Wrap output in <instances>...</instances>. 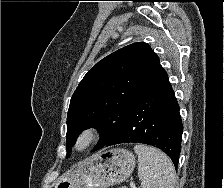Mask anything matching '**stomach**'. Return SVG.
Segmentation results:
<instances>
[{
	"mask_svg": "<svg viewBox=\"0 0 224 188\" xmlns=\"http://www.w3.org/2000/svg\"><path fill=\"white\" fill-rule=\"evenodd\" d=\"M135 156L123 148L100 151L62 175L54 188H107L125 181L133 172Z\"/></svg>",
	"mask_w": 224,
	"mask_h": 188,
	"instance_id": "0dacf381",
	"label": "stomach"
}]
</instances>
